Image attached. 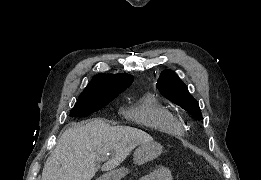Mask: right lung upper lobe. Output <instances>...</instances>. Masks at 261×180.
Segmentation results:
<instances>
[{"mask_svg":"<svg viewBox=\"0 0 261 180\" xmlns=\"http://www.w3.org/2000/svg\"><path fill=\"white\" fill-rule=\"evenodd\" d=\"M133 76L127 74H99L88 84L81 96H118L133 82Z\"/></svg>","mask_w":261,"mask_h":180,"instance_id":"1","label":"right lung upper lobe"}]
</instances>
